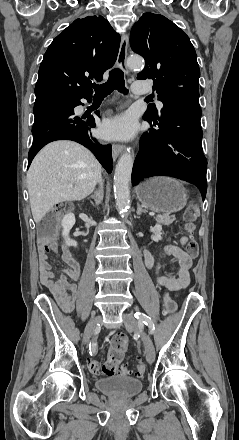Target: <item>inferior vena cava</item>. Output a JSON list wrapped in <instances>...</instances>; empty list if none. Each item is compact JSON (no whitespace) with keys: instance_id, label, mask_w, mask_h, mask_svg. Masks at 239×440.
I'll use <instances>...</instances> for the list:
<instances>
[{"instance_id":"obj_1","label":"inferior vena cava","mask_w":239,"mask_h":440,"mask_svg":"<svg viewBox=\"0 0 239 440\" xmlns=\"http://www.w3.org/2000/svg\"><path fill=\"white\" fill-rule=\"evenodd\" d=\"M99 184H102L101 180H99Z\"/></svg>"}]
</instances>
